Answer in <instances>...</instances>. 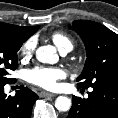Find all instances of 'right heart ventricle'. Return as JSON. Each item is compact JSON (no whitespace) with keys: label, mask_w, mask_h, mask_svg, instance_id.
<instances>
[{"label":"right heart ventricle","mask_w":118,"mask_h":118,"mask_svg":"<svg viewBox=\"0 0 118 118\" xmlns=\"http://www.w3.org/2000/svg\"><path fill=\"white\" fill-rule=\"evenodd\" d=\"M53 43L62 51H71L73 48V41L63 32H54L50 36Z\"/></svg>","instance_id":"obj_1"}]
</instances>
